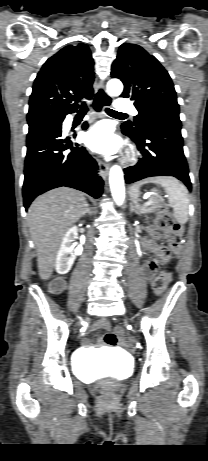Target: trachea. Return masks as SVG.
<instances>
[{
	"instance_id": "obj_1",
	"label": "trachea",
	"mask_w": 208,
	"mask_h": 461,
	"mask_svg": "<svg viewBox=\"0 0 208 461\" xmlns=\"http://www.w3.org/2000/svg\"><path fill=\"white\" fill-rule=\"evenodd\" d=\"M96 101L104 102L106 104H109L110 103V98L103 92V90H100L96 94ZM79 111L80 112H87L88 111V107H87L86 103H82V105L80 106ZM106 112L109 115L126 116V114H124V113H120V112H117V111L109 109V108H106Z\"/></svg>"
}]
</instances>
